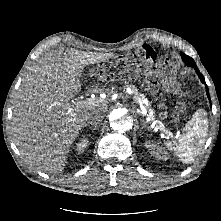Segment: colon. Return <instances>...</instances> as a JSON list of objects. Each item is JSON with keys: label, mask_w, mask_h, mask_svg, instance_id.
Segmentation results:
<instances>
[{"label": "colon", "mask_w": 221, "mask_h": 221, "mask_svg": "<svg viewBox=\"0 0 221 221\" xmlns=\"http://www.w3.org/2000/svg\"><path fill=\"white\" fill-rule=\"evenodd\" d=\"M138 58L142 61L139 70L142 72L151 71L155 66L157 67L158 71L162 72L167 69L166 63H161L157 66L156 59L154 57V52L152 49L139 51L137 53ZM96 74L105 79L111 80L119 78L123 75H132L135 72L134 66H124L123 69H119L115 62L104 63L97 67L95 70ZM180 107H183V104L180 103Z\"/></svg>", "instance_id": "obj_1"}]
</instances>
